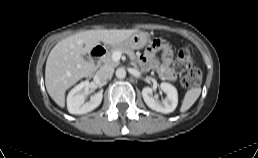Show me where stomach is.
<instances>
[{
    "label": "stomach",
    "instance_id": "obj_1",
    "mask_svg": "<svg viewBox=\"0 0 258 158\" xmlns=\"http://www.w3.org/2000/svg\"><path fill=\"white\" fill-rule=\"evenodd\" d=\"M149 40V35L143 31H137L130 35L123 42L112 45V47H122V48H131V49H141L143 48Z\"/></svg>",
    "mask_w": 258,
    "mask_h": 158
}]
</instances>
